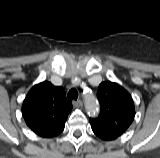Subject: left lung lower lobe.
<instances>
[{
    "mask_svg": "<svg viewBox=\"0 0 160 158\" xmlns=\"http://www.w3.org/2000/svg\"><path fill=\"white\" fill-rule=\"evenodd\" d=\"M91 128L96 136H98L100 139L105 140V141L114 140L117 137H119V136L112 134V133H110V132H108V131H106V130H104L94 124H91Z\"/></svg>",
    "mask_w": 160,
    "mask_h": 158,
    "instance_id": "left-lung-lower-lobe-1",
    "label": "left lung lower lobe"
}]
</instances>
